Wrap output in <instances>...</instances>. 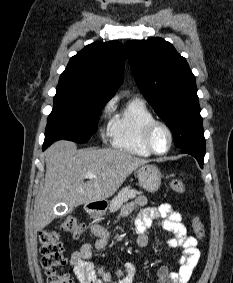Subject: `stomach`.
I'll use <instances>...</instances> for the list:
<instances>
[{"label":"stomach","instance_id":"0dacf381","mask_svg":"<svg viewBox=\"0 0 233 283\" xmlns=\"http://www.w3.org/2000/svg\"><path fill=\"white\" fill-rule=\"evenodd\" d=\"M139 185L148 192H156L161 185L162 174L157 166L147 164L137 170ZM93 217L104 214L102 211H89Z\"/></svg>","mask_w":233,"mask_h":283}]
</instances>
